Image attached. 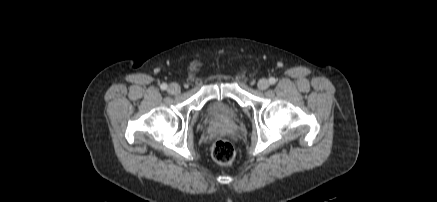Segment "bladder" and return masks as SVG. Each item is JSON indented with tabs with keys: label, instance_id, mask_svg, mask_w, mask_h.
<instances>
[{
	"label": "bladder",
	"instance_id": "bladder-1",
	"mask_svg": "<svg viewBox=\"0 0 437 202\" xmlns=\"http://www.w3.org/2000/svg\"><path fill=\"white\" fill-rule=\"evenodd\" d=\"M237 114L238 111L236 109L228 108L218 102L211 103L207 109V116L215 120L233 119Z\"/></svg>",
	"mask_w": 437,
	"mask_h": 202
}]
</instances>
